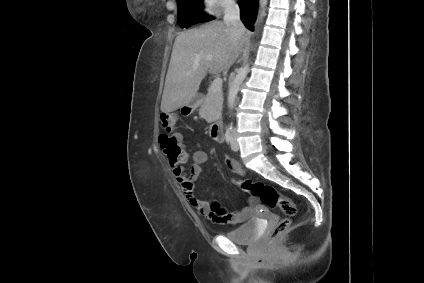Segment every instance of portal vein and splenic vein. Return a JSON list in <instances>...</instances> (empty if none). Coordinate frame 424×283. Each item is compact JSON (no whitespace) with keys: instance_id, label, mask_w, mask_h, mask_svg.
Masks as SVG:
<instances>
[{"instance_id":"portal-vein-and-splenic-vein-1","label":"portal vein and splenic vein","mask_w":424,"mask_h":283,"mask_svg":"<svg viewBox=\"0 0 424 283\" xmlns=\"http://www.w3.org/2000/svg\"><path fill=\"white\" fill-rule=\"evenodd\" d=\"M222 79L220 77H215L213 80L211 86L209 87V90L213 93L219 92L222 89Z\"/></svg>"}]
</instances>
